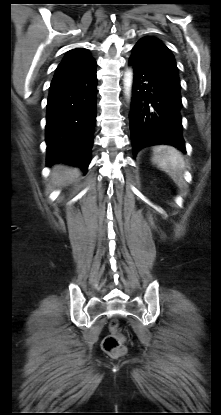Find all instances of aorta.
<instances>
[{
  "label": "aorta",
  "mask_w": 221,
  "mask_h": 415,
  "mask_svg": "<svg viewBox=\"0 0 221 415\" xmlns=\"http://www.w3.org/2000/svg\"><path fill=\"white\" fill-rule=\"evenodd\" d=\"M132 82H133V73L131 70H127L124 75V89H125V94L128 98H130V95H131Z\"/></svg>",
  "instance_id": "762f6f07"
}]
</instances>
